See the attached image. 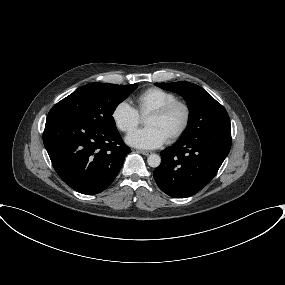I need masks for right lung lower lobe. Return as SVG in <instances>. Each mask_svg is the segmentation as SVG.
Segmentation results:
<instances>
[{
    "label": "right lung lower lobe",
    "mask_w": 285,
    "mask_h": 285,
    "mask_svg": "<svg viewBox=\"0 0 285 285\" xmlns=\"http://www.w3.org/2000/svg\"><path fill=\"white\" fill-rule=\"evenodd\" d=\"M44 146L59 177L75 191L105 190L131 152L116 130H99L60 111L49 112Z\"/></svg>",
    "instance_id": "98d812e1"
}]
</instances>
